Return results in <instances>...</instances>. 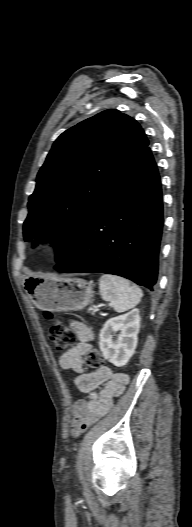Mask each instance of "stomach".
I'll list each match as a JSON object with an SVG mask.
<instances>
[{
	"label": "stomach",
	"mask_w": 192,
	"mask_h": 527,
	"mask_svg": "<svg viewBox=\"0 0 192 527\" xmlns=\"http://www.w3.org/2000/svg\"><path fill=\"white\" fill-rule=\"evenodd\" d=\"M24 287L37 308L50 312L81 310L94 296L93 285L80 278L27 277Z\"/></svg>",
	"instance_id": "obj_1"
}]
</instances>
